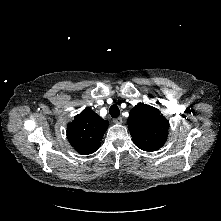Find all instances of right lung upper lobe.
I'll use <instances>...</instances> for the list:
<instances>
[{
	"mask_svg": "<svg viewBox=\"0 0 221 221\" xmlns=\"http://www.w3.org/2000/svg\"><path fill=\"white\" fill-rule=\"evenodd\" d=\"M108 125L107 120H103L87 107L68 124L67 137L77 152L92 154L100 147V141Z\"/></svg>",
	"mask_w": 221,
	"mask_h": 221,
	"instance_id": "cb5924a9",
	"label": "right lung upper lobe"
}]
</instances>
